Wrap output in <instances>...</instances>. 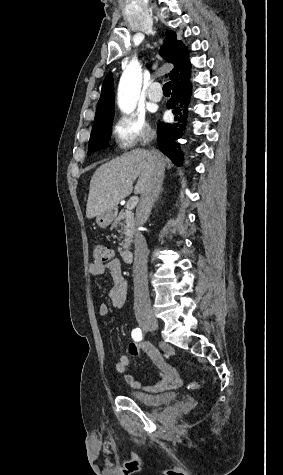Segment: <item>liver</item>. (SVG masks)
Wrapping results in <instances>:
<instances>
[{
    "mask_svg": "<svg viewBox=\"0 0 283 475\" xmlns=\"http://www.w3.org/2000/svg\"><path fill=\"white\" fill-rule=\"evenodd\" d=\"M164 166L171 168L170 160L159 154ZM154 156L148 150H131L120 158L102 164L92 176L86 206L88 220L106 210H115L119 202L130 196L133 182L139 176L134 194H143L152 170Z\"/></svg>",
    "mask_w": 283,
    "mask_h": 475,
    "instance_id": "1",
    "label": "liver"
}]
</instances>
